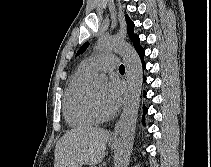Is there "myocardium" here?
<instances>
[{
  "mask_svg": "<svg viewBox=\"0 0 211 167\" xmlns=\"http://www.w3.org/2000/svg\"><path fill=\"white\" fill-rule=\"evenodd\" d=\"M86 105H87V109H88L89 113L95 119L96 122H106L111 118L110 114L102 115L96 110L90 90H88L87 94H86Z\"/></svg>",
  "mask_w": 211,
  "mask_h": 167,
  "instance_id": "obj_1",
  "label": "myocardium"
}]
</instances>
